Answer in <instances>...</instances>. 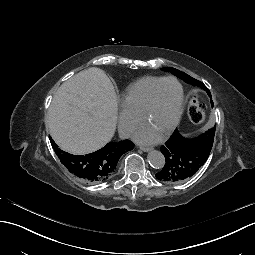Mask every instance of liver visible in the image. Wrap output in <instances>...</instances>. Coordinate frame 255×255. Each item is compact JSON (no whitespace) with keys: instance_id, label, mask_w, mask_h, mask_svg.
Wrapping results in <instances>:
<instances>
[{"instance_id":"1","label":"liver","mask_w":255,"mask_h":255,"mask_svg":"<svg viewBox=\"0 0 255 255\" xmlns=\"http://www.w3.org/2000/svg\"><path fill=\"white\" fill-rule=\"evenodd\" d=\"M117 115V95L111 80L102 69L91 67L58 88L46 125L59 148L84 155L111 141Z\"/></svg>"}]
</instances>
